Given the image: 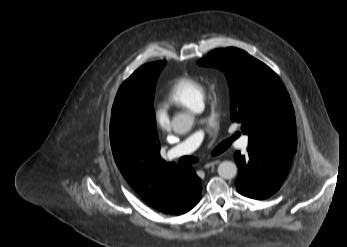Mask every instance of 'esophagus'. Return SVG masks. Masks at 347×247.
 <instances>
[{
    "label": "esophagus",
    "mask_w": 347,
    "mask_h": 247,
    "mask_svg": "<svg viewBox=\"0 0 347 247\" xmlns=\"http://www.w3.org/2000/svg\"><path fill=\"white\" fill-rule=\"evenodd\" d=\"M220 163V161L219 160H211V161H208L205 165H204V167L207 169V168H210L211 166H214V165H217V164H219Z\"/></svg>",
    "instance_id": "34e87169"
}]
</instances>
